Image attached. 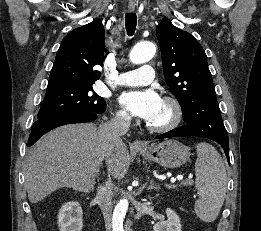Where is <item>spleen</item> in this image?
<instances>
[{"label": "spleen", "instance_id": "spleen-1", "mask_svg": "<svg viewBox=\"0 0 261 231\" xmlns=\"http://www.w3.org/2000/svg\"><path fill=\"white\" fill-rule=\"evenodd\" d=\"M196 189L199 199L195 202L197 216L205 221H214L223 205L227 174L224 162L217 150L206 142L196 145Z\"/></svg>", "mask_w": 261, "mask_h": 231}]
</instances>
